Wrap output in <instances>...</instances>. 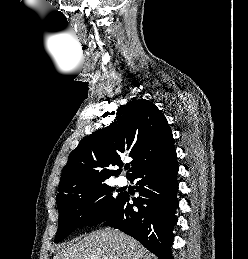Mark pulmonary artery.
Here are the masks:
<instances>
[{
    "instance_id": "pulmonary-artery-1",
    "label": "pulmonary artery",
    "mask_w": 248,
    "mask_h": 259,
    "mask_svg": "<svg viewBox=\"0 0 248 259\" xmlns=\"http://www.w3.org/2000/svg\"><path fill=\"white\" fill-rule=\"evenodd\" d=\"M117 182H118V184H119L120 186H123V185H125V184L127 183V180H126L125 177L120 176V177H118Z\"/></svg>"
}]
</instances>
